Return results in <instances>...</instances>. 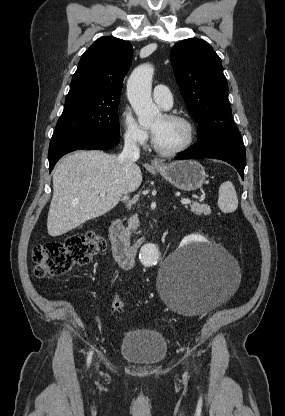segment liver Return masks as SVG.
<instances>
[{"label": "liver", "mask_w": 285, "mask_h": 416, "mask_svg": "<svg viewBox=\"0 0 285 416\" xmlns=\"http://www.w3.org/2000/svg\"><path fill=\"white\" fill-rule=\"evenodd\" d=\"M141 182L139 166L133 164L129 172H123L122 164L112 154L98 150L69 154L53 174L49 236H62L87 220L104 216L117 206L123 194L138 190Z\"/></svg>", "instance_id": "6515ba94"}]
</instances>
